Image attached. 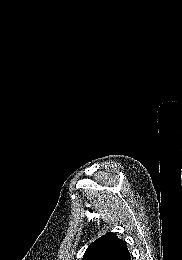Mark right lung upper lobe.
I'll return each instance as SVG.
<instances>
[{
  "instance_id": "1",
  "label": "right lung upper lobe",
  "mask_w": 182,
  "mask_h": 260,
  "mask_svg": "<svg viewBox=\"0 0 182 260\" xmlns=\"http://www.w3.org/2000/svg\"><path fill=\"white\" fill-rule=\"evenodd\" d=\"M82 260H131L124 241L108 233L91 243Z\"/></svg>"
}]
</instances>
